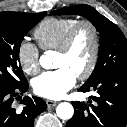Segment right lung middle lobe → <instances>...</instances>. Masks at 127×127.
I'll list each match as a JSON object with an SVG mask.
<instances>
[{
	"label": "right lung middle lobe",
	"instance_id": "1",
	"mask_svg": "<svg viewBox=\"0 0 127 127\" xmlns=\"http://www.w3.org/2000/svg\"><path fill=\"white\" fill-rule=\"evenodd\" d=\"M45 14L0 13V87L17 88L27 82L19 64L20 45L27 32Z\"/></svg>",
	"mask_w": 127,
	"mask_h": 127
}]
</instances>
